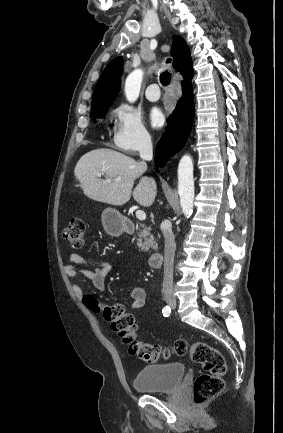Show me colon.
Here are the masks:
<instances>
[{"mask_svg":"<svg viewBox=\"0 0 283 433\" xmlns=\"http://www.w3.org/2000/svg\"><path fill=\"white\" fill-rule=\"evenodd\" d=\"M85 232L86 225L83 218L75 216L64 229L63 239L74 250H80L85 244ZM83 301L90 310L103 313L104 318L110 322L112 330L128 346L131 355L152 363L172 354L178 356L188 354L194 363L201 365L204 373L196 378L193 385L195 404L202 405L223 391L225 387L223 376L227 371V365L218 349L203 341L189 343L178 340L170 348L143 342L137 337L134 316L126 312L123 305L101 306L92 295L85 296Z\"/></svg>","mask_w":283,"mask_h":433,"instance_id":"1","label":"colon"}]
</instances>
